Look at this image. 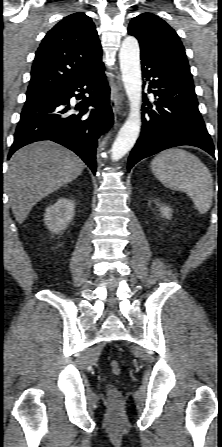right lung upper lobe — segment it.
I'll return each mask as SVG.
<instances>
[{
	"mask_svg": "<svg viewBox=\"0 0 222 447\" xmlns=\"http://www.w3.org/2000/svg\"><path fill=\"white\" fill-rule=\"evenodd\" d=\"M101 52L92 19L82 12L67 16L36 51L27 98L54 97L100 65Z\"/></svg>",
	"mask_w": 222,
	"mask_h": 447,
	"instance_id": "1",
	"label": "right lung upper lobe"
}]
</instances>
